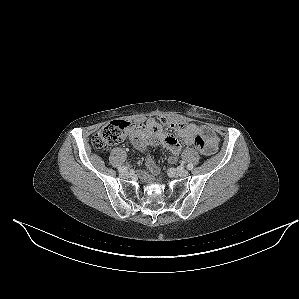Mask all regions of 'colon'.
Wrapping results in <instances>:
<instances>
[{
    "instance_id": "1",
    "label": "colon",
    "mask_w": 299,
    "mask_h": 299,
    "mask_svg": "<svg viewBox=\"0 0 299 299\" xmlns=\"http://www.w3.org/2000/svg\"><path fill=\"white\" fill-rule=\"evenodd\" d=\"M162 124L178 130L184 126L182 123L162 119ZM143 128V124L132 123L126 120H114L103 126L92 138L95 148L105 150L123 141L134 129ZM195 147L202 153L207 154L209 148L203 136L198 135L194 141Z\"/></svg>"
}]
</instances>
